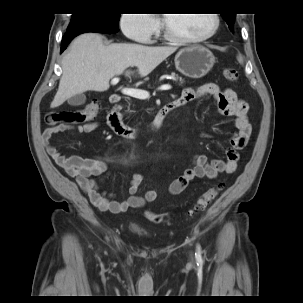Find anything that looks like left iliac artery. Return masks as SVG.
<instances>
[{
    "label": "left iliac artery",
    "instance_id": "left-iliac-artery-1",
    "mask_svg": "<svg viewBox=\"0 0 303 303\" xmlns=\"http://www.w3.org/2000/svg\"><path fill=\"white\" fill-rule=\"evenodd\" d=\"M195 257H196L197 261L202 262L200 245L197 246V251L195 253Z\"/></svg>",
    "mask_w": 303,
    "mask_h": 303
}]
</instances>
